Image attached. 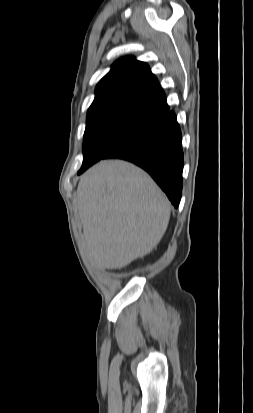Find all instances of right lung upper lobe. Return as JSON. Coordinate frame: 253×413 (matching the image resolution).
<instances>
[{"label": "right lung upper lobe", "instance_id": "right-lung-upper-lobe-1", "mask_svg": "<svg viewBox=\"0 0 253 413\" xmlns=\"http://www.w3.org/2000/svg\"><path fill=\"white\" fill-rule=\"evenodd\" d=\"M116 109L159 118L170 112L165 94L149 66L134 57L116 61L100 80L87 115Z\"/></svg>", "mask_w": 253, "mask_h": 413}]
</instances>
